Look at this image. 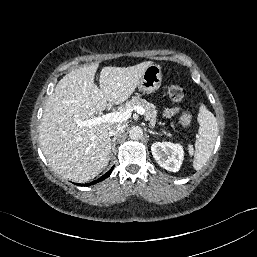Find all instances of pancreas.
<instances>
[{
	"label": "pancreas",
	"instance_id": "obj_1",
	"mask_svg": "<svg viewBox=\"0 0 257 257\" xmlns=\"http://www.w3.org/2000/svg\"><path fill=\"white\" fill-rule=\"evenodd\" d=\"M134 106H141L142 108H144L145 120L150 122L149 125L151 127H154L156 124V117L158 113L156 106L152 103H149L145 99L140 98L139 96H134L132 97L131 100L126 101L125 103L126 108H132ZM164 133L167 134L168 136H171L170 133H166V132Z\"/></svg>",
	"mask_w": 257,
	"mask_h": 257
}]
</instances>
